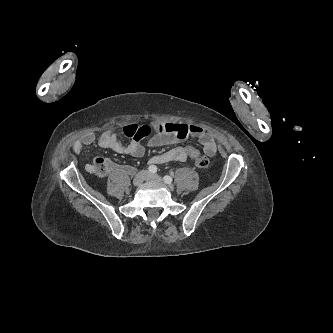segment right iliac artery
<instances>
[{
    "label": "right iliac artery",
    "mask_w": 333,
    "mask_h": 333,
    "mask_svg": "<svg viewBox=\"0 0 333 333\" xmlns=\"http://www.w3.org/2000/svg\"><path fill=\"white\" fill-rule=\"evenodd\" d=\"M148 170L151 173H155L157 171V167L155 165H151V166H149Z\"/></svg>",
    "instance_id": "82829eb1"
}]
</instances>
